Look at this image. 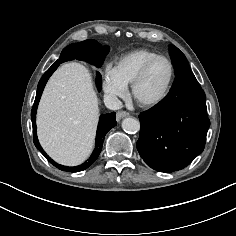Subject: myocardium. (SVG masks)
Returning a JSON list of instances; mask_svg holds the SVG:
<instances>
[{"label":"myocardium","mask_w":236,"mask_h":236,"mask_svg":"<svg viewBox=\"0 0 236 236\" xmlns=\"http://www.w3.org/2000/svg\"><path fill=\"white\" fill-rule=\"evenodd\" d=\"M158 60H166L170 66V78L168 81V84L165 88V90L163 91V93L155 98V99H151V100H144L141 99L138 96V87L141 84V82L143 81V79L145 78L147 72L149 71V69L151 68V66L157 62ZM174 80H175V66L172 62V60L164 55H157L153 58H151L150 60H148L143 66L142 68L139 70V72L137 73V75L135 76V78L133 79L132 83H131V93L132 96L134 98V100L142 107H154L157 106L159 104H161L162 102H164L166 100V98L169 96L173 84H174Z\"/></svg>","instance_id":"f54148a6"}]
</instances>
